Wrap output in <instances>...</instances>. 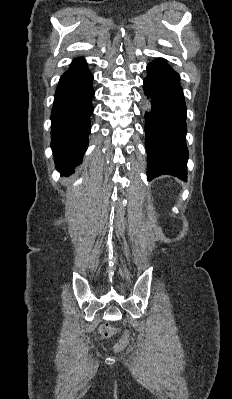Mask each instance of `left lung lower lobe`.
<instances>
[{"label":"left lung lower lobe","instance_id":"0a47b994","mask_svg":"<svg viewBox=\"0 0 232 399\" xmlns=\"http://www.w3.org/2000/svg\"><path fill=\"white\" fill-rule=\"evenodd\" d=\"M145 94L151 99V112L145 113L147 178L171 175L187 179L186 105L180 76L164 59L147 65Z\"/></svg>","mask_w":232,"mask_h":399}]
</instances>
